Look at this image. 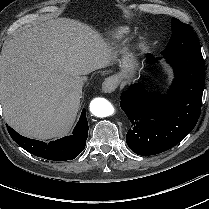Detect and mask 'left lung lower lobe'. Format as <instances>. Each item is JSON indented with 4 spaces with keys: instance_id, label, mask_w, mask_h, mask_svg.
Returning <instances> with one entry per match:
<instances>
[{
    "instance_id": "left-lung-lower-lobe-1",
    "label": "left lung lower lobe",
    "mask_w": 209,
    "mask_h": 209,
    "mask_svg": "<svg viewBox=\"0 0 209 209\" xmlns=\"http://www.w3.org/2000/svg\"><path fill=\"white\" fill-rule=\"evenodd\" d=\"M175 73L168 94L151 93L142 84L121 94L120 107L131 122L126 135L138 155H156L178 144L195 127L201 111L205 64L200 46L164 54ZM161 57L148 55L157 62Z\"/></svg>"
}]
</instances>
